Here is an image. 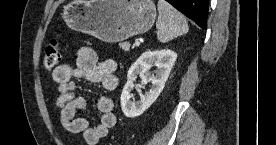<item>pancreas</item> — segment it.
<instances>
[{
    "mask_svg": "<svg viewBox=\"0 0 276 145\" xmlns=\"http://www.w3.org/2000/svg\"><path fill=\"white\" fill-rule=\"evenodd\" d=\"M119 46H120L124 51H129V49H130V44H129L128 42L120 43Z\"/></svg>",
    "mask_w": 276,
    "mask_h": 145,
    "instance_id": "1",
    "label": "pancreas"
}]
</instances>
